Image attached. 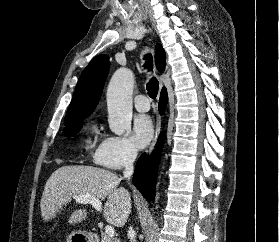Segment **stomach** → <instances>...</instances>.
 Here are the masks:
<instances>
[{
  "label": "stomach",
  "mask_w": 279,
  "mask_h": 242,
  "mask_svg": "<svg viewBox=\"0 0 279 242\" xmlns=\"http://www.w3.org/2000/svg\"><path fill=\"white\" fill-rule=\"evenodd\" d=\"M90 234L85 231H73L68 236V242H90Z\"/></svg>",
  "instance_id": "0dacf381"
}]
</instances>
